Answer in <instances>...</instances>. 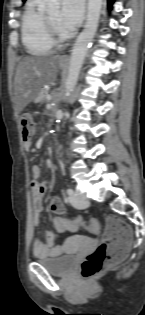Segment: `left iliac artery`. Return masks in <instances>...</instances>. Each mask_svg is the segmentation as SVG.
I'll return each instance as SVG.
<instances>
[{
    "label": "left iliac artery",
    "mask_w": 145,
    "mask_h": 315,
    "mask_svg": "<svg viewBox=\"0 0 145 315\" xmlns=\"http://www.w3.org/2000/svg\"><path fill=\"white\" fill-rule=\"evenodd\" d=\"M66 192H67V194H69V195L73 194V190H72L71 188H68Z\"/></svg>",
    "instance_id": "44dca946"
}]
</instances>
